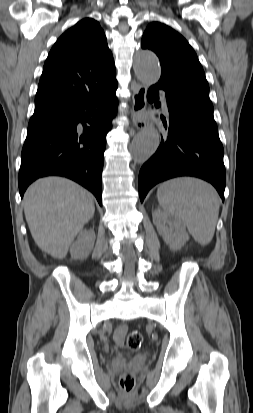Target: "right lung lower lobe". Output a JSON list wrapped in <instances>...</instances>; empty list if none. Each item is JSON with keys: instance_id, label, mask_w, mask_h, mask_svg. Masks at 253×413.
<instances>
[{"instance_id": "right-lung-lower-lobe-1", "label": "right lung lower lobe", "mask_w": 253, "mask_h": 413, "mask_svg": "<svg viewBox=\"0 0 253 413\" xmlns=\"http://www.w3.org/2000/svg\"><path fill=\"white\" fill-rule=\"evenodd\" d=\"M117 86L115 74L95 96L73 103L51 124L27 133L18 177L21 197L37 178L59 175L90 190L102 204L103 154L117 112Z\"/></svg>"}]
</instances>
